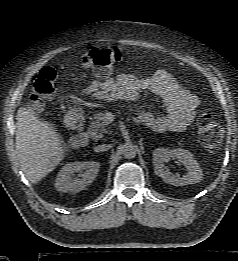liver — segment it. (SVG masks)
<instances>
[{"label":"liver","mask_w":238,"mask_h":261,"mask_svg":"<svg viewBox=\"0 0 238 261\" xmlns=\"http://www.w3.org/2000/svg\"><path fill=\"white\" fill-rule=\"evenodd\" d=\"M16 128L15 146L21 168L31 183H38L65 157L64 141L48 123L24 107L17 112Z\"/></svg>","instance_id":"6515ba94"}]
</instances>
